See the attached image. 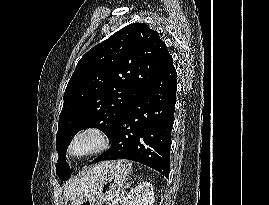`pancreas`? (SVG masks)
Instances as JSON below:
<instances>
[{"instance_id": "1", "label": "pancreas", "mask_w": 269, "mask_h": 205, "mask_svg": "<svg viewBox=\"0 0 269 205\" xmlns=\"http://www.w3.org/2000/svg\"><path fill=\"white\" fill-rule=\"evenodd\" d=\"M122 198H123V196H121V198H119L118 203L121 202V199ZM118 203L117 204H114V205H118Z\"/></svg>"}]
</instances>
